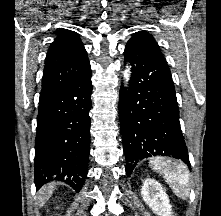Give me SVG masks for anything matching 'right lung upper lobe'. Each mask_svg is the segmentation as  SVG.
<instances>
[{
    "label": "right lung upper lobe",
    "instance_id": "1",
    "mask_svg": "<svg viewBox=\"0 0 221 216\" xmlns=\"http://www.w3.org/2000/svg\"><path fill=\"white\" fill-rule=\"evenodd\" d=\"M89 70L87 52L78 34L72 30L63 29L49 47L40 97L67 82L82 77Z\"/></svg>",
    "mask_w": 221,
    "mask_h": 216
}]
</instances>
